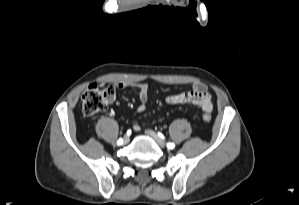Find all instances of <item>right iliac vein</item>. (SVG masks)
I'll use <instances>...</instances> for the list:
<instances>
[{
	"mask_svg": "<svg viewBox=\"0 0 299 205\" xmlns=\"http://www.w3.org/2000/svg\"><path fill=\"white\" fill-rule=\"evenodd\" d=\"M129 137L128 136H124L123 138V144H127L129 142Z\"/></svg>",
	"mask_w": 299,
	"mask_h": 205,
	"instance_id": "right-iliac-vein-1",
	"label": "right iliac vein"
}]
</instances>
